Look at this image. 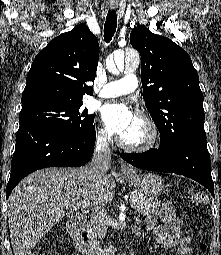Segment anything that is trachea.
<instances>
[{"label":"trachea","instance_id":"1","mask_svg":"<svg viewBox=\"0 0 221 255\" xmlns=\"http://www.w3.org/2000/svg\"><path fill=\"white\" fill-rule=\"evenodd\" d=\"M117 27V14L115 10L108 11L104 24V39L108 43L111 41Z\"/></svg>","mask_w":221,"mask_h":255}]
</instances>
